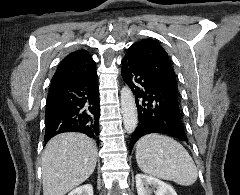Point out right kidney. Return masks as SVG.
<instances>
[{"label":"right kidney","instance_id":"right-kidney-1","mask_svg":"<svg viewBox=\"0 0 240 195\" xmlns=\"http://www.w3.org/2000/svg\"><path fill=\"white\" fill-rule=\"evenodd\" d=\"M68 195H93V185H91V183H85V185L75 187Z\"/></svg>","mask_w":240,"mask_h":195}]
</instances>
